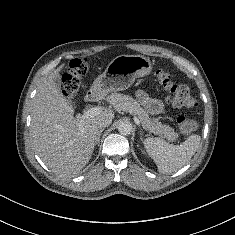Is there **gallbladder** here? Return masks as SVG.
Here are the masks:
<instances>
[{
	"label": "gallbladder",
	"mask_w": 235,
	"mask_h": 235,
	"mask_svg": "<svg viewBox=\"0 0 235 235\" xmlns=\"http://www.w3.org/2000/svg\"><path fill=\"white\" fill-rule=\"evenodd\" d=\"M56 83H57V85H58V88H59V85H60V80H59V77L57 78V80H56Z\"/></svg>",
	"instance_id": "obj_1"
}]
</instances>
